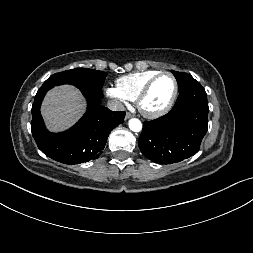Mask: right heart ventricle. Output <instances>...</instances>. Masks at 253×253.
Returning a JSON list of instances; mask_svg holds the SVG:
<instances>
[{"label": "right heart ventricle", "instance_id": "e07e8e85", "mask_svg": "<svg viewBox=\"0 0 253 253\" xmlns=\"http://www.w3.org/2000/svg\"><path fill=\"white\" fill-rule=\"evenodd\" d=\"M157 73V70H148L121 76L116 80V87L126 99L134 101L144 85Z\"/></svg>", "mask_w": 253, "mask_h": 253}]
</instances>
